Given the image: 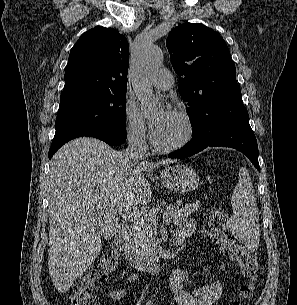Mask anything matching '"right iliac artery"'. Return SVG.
Here are the masks:
<instances>
[{"instance_id": "1", "label": "right iliac artery", "mask_w": 297, "mask_h": 305, "mask_svg": "<svg viewBox=\"0 0 297 305\" xmlns=\"http://www.w3.org/2000/svg\"><path fill=\"white\" fill-rule=\"evenodd\" d=\"M146 305H151V300H148V301L146 302Z\"/></svg>"}]
</instances>
